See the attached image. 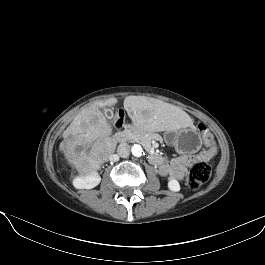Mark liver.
Wrapping results in <instances>:
<instances>
[{"label":"liver","instance_id":"obj_1","mask_svg":"<svg viewBox=\"0 0 265 265\" xmlns=\"http://www.w3.org/2000/svg\"><path fill=\"white\" fill-rule=\"evenodd\" d=\"M116 103V98H109L84 107L63 132L59 150L82 176L99 170L116 149L117 142L111 137L112 127L100 110ZM124 108L136 126L149 131L194 128L192 118L185 111L158 99L127 96Z\"/></svg>","mask_w":265,"mask_h":265}]
</instances>
